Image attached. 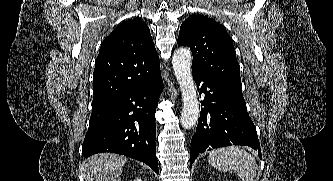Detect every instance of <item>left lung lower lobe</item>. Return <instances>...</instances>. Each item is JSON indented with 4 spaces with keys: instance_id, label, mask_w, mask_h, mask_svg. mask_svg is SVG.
<instances>
[{
    "instance_id": "obj_1",
    "label": "left lung lower lobe",
    "mask_w": 333,
    "mask_h": 181,
    "mask_svg": "<svg viewBox=\"0 0 333 181\" xmlns=\"http://www.w3.org/2000/svg\"><path fill=\"white\" fill-rule=\"evenodd\" d=\"M197 87L203 81L205 97L201 102L200 118L191 140V166L195 158L206 150L229 145H246L261 149L256 128L247 113L244 99L235 95L224 84L193 72Z\"/></svg>"
}]
</instances>
